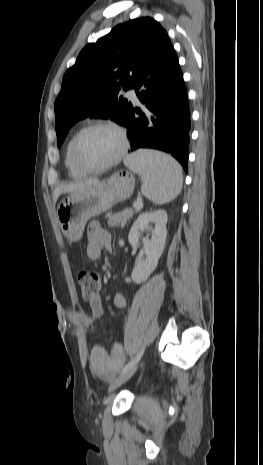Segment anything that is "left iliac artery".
I'll return each mask as SVG.
<instances>
[{"instance_id":"obj_1","label":"left iliac artery","mask_w":263,"mask_h":465,"mask_svg":"<svg viewBox=\"0 0 263 465\" xmlns=\"http://www.w3.org/2000/svg\"><path fill=\"white\" fill-rule=\"evenodd\" d=\"M143 352H144V348H142V349L140 350V352H139L134 358H132L130 362H128V363L124 366V368H123L122 371H121V374L125 373V372H126L128 369H130L135 363H137V362L140 360L141 356L143 355Z\"/></svg>"}]
</instances>
